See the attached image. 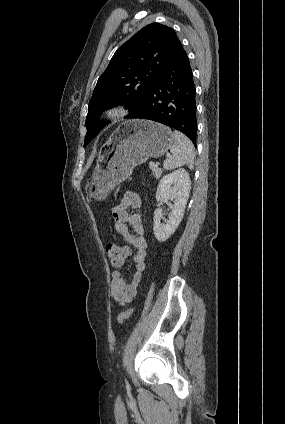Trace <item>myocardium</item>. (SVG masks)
I'll return each instance as SVG.
<instances>
[{
    "label": "myocardium",
    "instance_id": "obj_1",
    "mask_svg": "<svg viewBox=\"0 0 285 424\" xmlns=\"http://www.w3.org/2000/svg\"><path fill=\"white\" fill-rule=\"evenodd\" d=\"M129 107L124 103L111 105L104 111V119L107 122H115L128 115Z\"/></svg>",
    "mask_w": 285,
    "mask_h": 424
}]
</instances>
